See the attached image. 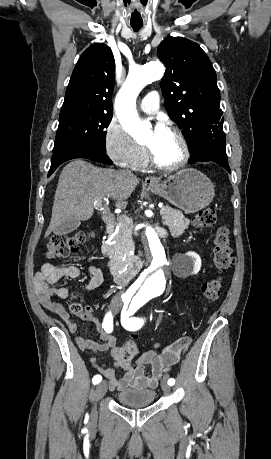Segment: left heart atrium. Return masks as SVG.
Returning a JSON list of instances; mask_svg holds the SVG:
<instances>
[{"label":"left heart atrium","instance_id":"39dd6f15","mask_svg":"<svg viewBox=\"0 0 271 459\" xmlns=\"http://www.w3.org/2000/svg\"><path fill=\"white\" fill-rule=\"evenodd\" d=\"M154 130H155V132L157 134H160L161 132H163L165 130V127H164L162 122H159V123L156 124Z\"/></svg>","mask_w":271,"mask_h":459}]
</instances>
